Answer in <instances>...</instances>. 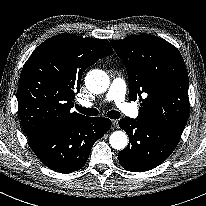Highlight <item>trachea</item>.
<instances>
[{"label":"trachea","instance_id":"trachea-1","mask_svg":"<svg viewBox=\"0 0 206 206\" xmlns=\"http://www.w3.org/2000/svg\"><path fill=\"white\" fill-rule=\"evenodd\" d=\"M76 109L80 113L87 115V116H97L99 114V111L96 108H84L79 105H76ZM106 115L110 119H119L121 116L120 112L115 111V110L109 111Z\"/></svg>","mask_w":206,"mask_h":206}]
</instances>
